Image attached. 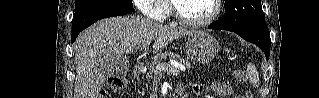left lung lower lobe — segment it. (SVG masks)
<instances>
[{
	"label": "left lung lower lobe",
	"instance_id": "1",
	"mask_svg": "<svg viewBox=\"0 0 319 98\" xmlns=\"http://www.w3.org/2000/svg\"><path fill=\"white\" fill-rule=\"evenodd\" d=\"M210 29H218L217 26L211 24L209 25ZM239 36H241L243 39L252 42L259 46L265 53L266 58L269 59V52H270V45H271V39L269 34L264 33H241V32H235Z\"/></svg>",
	"mask_w": 319,
	"mask_h": 98
}]
</instances>
